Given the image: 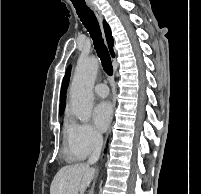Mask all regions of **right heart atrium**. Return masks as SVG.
Masks as SVG:
<instances>
[{
	"instance_id": "d8ad5b80",
	"label": "right heart atrium",
	"mask_w": 201,
	"mask_h": 194,
	"mask_svg": "<svg viewBox=\"0 0 201 194\" xmlns=\"http://www.w3.org/2000/svg\"><path fill=\"white\" fill-rule=\"evenodd\" d=\"M66 135L68 152L77 158H85L97 151L103 142L102 135L87 122L72 121Z\"/></svg>"
}]
</instances>
